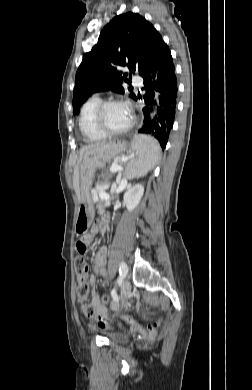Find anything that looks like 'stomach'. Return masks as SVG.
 Returning <instances> with one entry per match:
<instances>
[{
	"instance_id": "1",
	"label": "stomach",
	"mask_w": 252,
	"mask_h": 390,
	"mask_svg": "<svg viewBox=\"0 0 252 390\" xmlns=\"http://www.w3.org/2000/svg\"><path fill=\"white\" fill-rule=\"evenodd\" d=\"M125 147L120 142L110 143L104 147L86 151L80 165V206L75 221L77 232H83L88 228L95 216L94 204L90 196V188L96 170L104 168L106 163L122 153Z\"/></svg>"
}]
</instances>
